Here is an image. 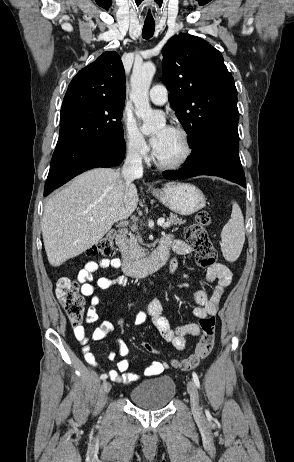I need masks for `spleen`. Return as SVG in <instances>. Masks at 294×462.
<instances>
[{
	"label": "spleen",
	"instance_id": "spleen-1",
	"mask_svg": "<svg viewBox=\"0 0 294 462\" xmlns=\"http://www.w3.org/2000/svg\"><path fill=\"white\" fill-rule=\"evenodd\" d=\"M221 239V249L224 258L230 262L236 261L245 241L244 218L236 202H233L232 205L231 218L222 229Z\"/></svg>",
	"mask_w": 294,
	"mask_h": 462
}]
</instances>
